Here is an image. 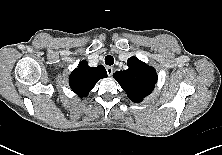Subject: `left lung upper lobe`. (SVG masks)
Segmentation results:
<instances>
[{"label": "left lung upper lobe", "mask_w": 222, "mask_h": 155, "mask_svg": "<svg viewBox=\"0 0 222 155\" xmlns=\"http://www.w3.org/2000/svg\"><path fill=\"white\" fill-rule=\"evenodd\" d=\"M128 69L117 71L113 77L125 90L132 102L139 103L150 95L157 82L155 69L132 56L127 61Z\"/></svg>", "instance_id": "1"}]
</instances>
